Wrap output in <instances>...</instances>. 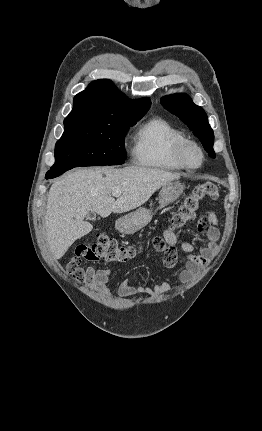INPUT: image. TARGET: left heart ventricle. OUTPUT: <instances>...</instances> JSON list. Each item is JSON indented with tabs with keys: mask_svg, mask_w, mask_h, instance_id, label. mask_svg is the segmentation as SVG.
<instances>
[{
	"mask_svg": "<svg viewBox=\"0 0 262 431\" xmlns=\"http://www.w3.org/2000/svg\"><path fill=\"white\" fill-rule=\"evenodd\" d=\"M187 161L191 165H197L199 163V156L196 152L190 151L187 156Z\"/></svg>",
	"mask_w": 262,
	"mask_h": 431,
	"instance_id": "obj_1",
	"label": "left heart ventricle"
}]
</instances>
